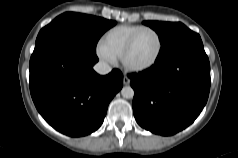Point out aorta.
<instances>
[{"instance_id": "762f6f07", "label": "aorta", "mask_w": 238, "mask_h": 158, "mask_svg": "<svg viewBox=\"0 0 238 158\" xmlns=\"http://www.w3.org/2000/svg\"><path fill=\"white\" fill-rule=\"evenodd\" d=\"M121 94L126 99H131L134 96V90L130 86H125L121 90Z\"/></svg>"}]
</instances>
